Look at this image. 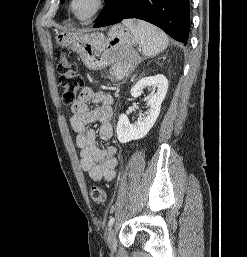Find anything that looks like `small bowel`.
<instances>
[{
    "mask_svg": "<svg viewBox=\"0 0 247 257\" xmlns=\"http://www.w3.org/2000/svg\"><path fill=\"white\" fill-rule=\"evenodd\" d=\"M89 103L96 104L94 109ZM113 98L104 91L84 87L71 105L70 124L76 133V146L80 149V166L95 182L112 181L117 167V150L113 145L100 148L97 139L108 141L113 136ZM99 123L98 130L90 127Z\"/></svg>",
    "mask_w": 247,
    "mask_h": 257,
    "instance_id": "c3829d8e",
    "label": "small bowel"
}]
</instances>
